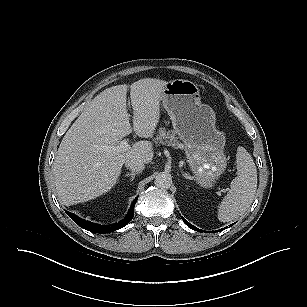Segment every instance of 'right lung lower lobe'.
<instances>
[{
	"label": "right lung lower lobe",
	"mask_w": 307,
	"mask_h": 307,
	"mask_svg": "<svg viewBox=\"0 0 307 307\" xmlns=\"http://www.w3.org/2000/svg\"><path fill=\"white\" fill-rule=\"evenodd\" d=\"M137 199H138V197H136L133 200V202L131 204V208H130L128 214L125 216V218L123 220H121L120 222L113 224V225L103 226V225L94 224V223H91L89 221H86V220L79 218L78 216H76L75 214H73L71 212H68V211H65V212L68 214V216L76 224H78L83 229H86V230H88L90 232H94V233H100V234L110 233V232L116 231V230L126 226L131 221V219L134 216V206L136 204Z\"/></svg>",
	"instance_id": "right-lung-lower-lobe-1"
}]
</instances>
